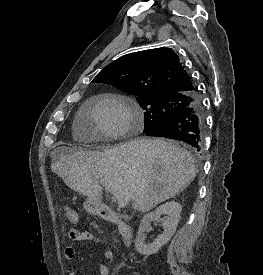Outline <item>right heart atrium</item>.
<instances>
[{
  "label": "right heart atrium",
  "instance_id": "right-heart-atrium-1",
  "mask_svg": "<svg viewBox=\"0 0 263 275\" xmlns=\"http://www.w3.org/2000/svg\"><path fill=\"white\" fill-rule=\"evenodd\" d=\"M93 116L100 135L104 138L119 137L133 129L132 108L116 96H109L97 102Z\"/></svg>",
  "mask_w": 263,
  "mask_h": 275
}]
</instances>
